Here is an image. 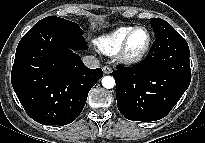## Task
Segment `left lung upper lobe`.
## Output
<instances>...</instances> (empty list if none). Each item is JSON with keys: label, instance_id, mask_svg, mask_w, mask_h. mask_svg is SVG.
Returning a JSON list of instances; mask_svg holds the SVG:
<instances>
[{"label": "left lung upper lobe", "instance_id": "5c2ea615", "mask_svg": "<svg viewBox=\"0 0 205 143\" xmlns=\"http://www.w3.org/2000/svg\"><path fill=\"white\" fill-rule=\"evenodd\" d=\"M150 23L154 29L156 38L162 37L166 34H169L170 32L175 31V29L168 22L160 18H152Z\"/></svg>", "mask_w": 205, "mask_h": 143}]
</instances>
